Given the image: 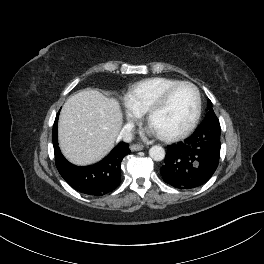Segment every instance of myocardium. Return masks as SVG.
<instances>
[{"mask_svg": "<svg viewBox=\"0 0 264 264\" xmlns=\"http://www.w3.org/2000/svg\"><path fill=\"white\" fill-rule=\"evenodd\" d=\"M183 85L190 86L195 92V96H196L195 112L189 124L181 131L173 133V134H158L157 133V136L165 142H175V141L185 138L194 130V128L198 124L200 116H201V112H202V98H201V93H200L199 88L190 81H178L170 85L169 87H167L162 92L160 97L147 110L146 121H147V124L150 126V122H151L153 115L167 104L173 91Z\"/></svg>", "mask_w": 264, "mask_h": 264, "instance_id": "myocardium-1", "label": "myocardium"}]
</instances>
